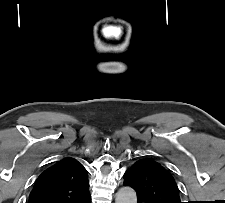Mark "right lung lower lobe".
Masks as SVG:
<instances>
[{"instance_id":"right-lung-lower-lobe-1","label":"right lung lower lobe","mask_w":225,"mask_h":203,"mask_svg":"<svg viewBox=\"0 0 225 203\" xmlns=\"http://www.w3.org/2000/svg\"><path fill=\"white\" fill-rule=\"evenodd\" d=\"M84 203H91V198H90V196H89V198H87V199L84 201Z\"/></svg>"}]
</instances>
